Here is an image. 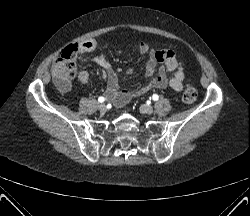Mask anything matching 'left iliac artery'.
Instances as JSON below:
<instances>
[{
  "mask_svg": "<svg viewBox=\"0 0 250 216\" xmlns=\"http://www.w3.org/2000/svg\"><path fill=\"white\" fill-rule=\"evenodd\" d=\"M152 98H153L154 101H157V100L159 99V96H158L157 94H154V95L152 96Z\"/></svg>",
  "mask_w": 250,
  "mask_h": 216,
  "instance_id": "left-iliac-artery-1",
  "label": "left iliac artery"
}]
</instances>
